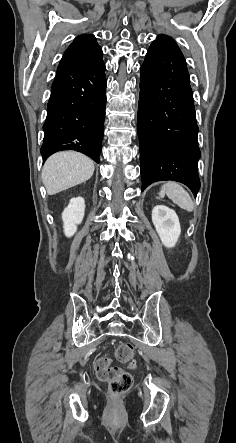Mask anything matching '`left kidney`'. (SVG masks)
I'll use <instances>...</instances> for the list:
<instances>
[{
  "mask_svg": "<svg viewBox=\"0 0 236 443\" xmlns=\"http://www.w3.org/2000/svg\"><path fill=\"white\" fill-rule=\"evenodd\" d=\"M152 222L163 245L167 248L174 247L181 233L176 212L167 206L157 205L152 210Z\"/></svg>",
  "mask_w": 236,
  "mask_h": 443,
  "instance_id": "5707ae66",
  "label": "left kidney"
}]
</instances>
